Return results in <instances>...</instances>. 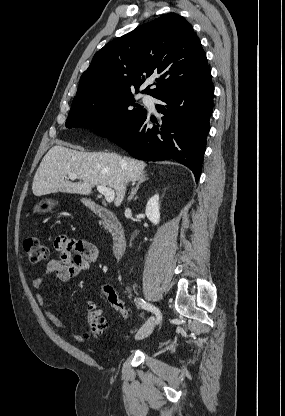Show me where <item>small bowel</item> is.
I'll return each instance as SVG.
<instances>
[{"label":"small bowel","instance_id":"small-bowel-1","mask_svg":"<svg viewBox=\"0 0 285 416\" xmlns=\"http://www.w3.org/2000/svg\"><path fill=\"white\" fill-rule=\"evenodd\" d=\"M55 249L58 257L52 259L46 265L42 275L33 281L35 288H40L44 281L50 277H56L61 282H68L77 277L83 271L90 268L97 260L98 248L95 244L80 239H73L67 236H59L55 241ZM38 304L44 308L45 317L59 329L65 330L66 326L49 308L42 293L37 295ZM85 334H75V341L82 342Z\"/></svg>","mask_w":285,"mask_h":416}]
</instances>
